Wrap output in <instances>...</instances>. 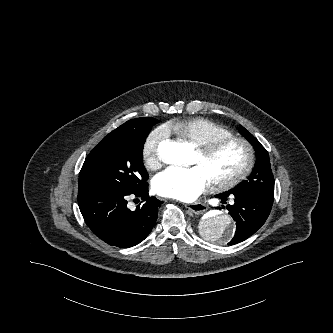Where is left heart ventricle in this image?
Listing matches in <instances>:
<instances>
[{"label": "left heart ventricle", "instance_id": "left-heart-ventricle-1", "mask_svg": "<svg viewBox=\"0 0 333 333\" xmlns=\"http://www.w3.org/2000/svg\"><path fill=\"white\" fill-rule=\"evenodd\" d=\"M244 161L243 147L231 143L223 146L209 157H203L197 152L192 164L201 166L212 181L236 173L242 168Z\"/></svg>", "mask_w": 333, "mask_h": 333}]
</instances>
